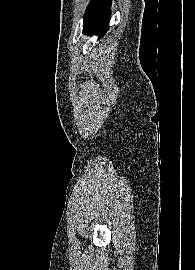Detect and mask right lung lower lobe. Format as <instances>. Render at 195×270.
<instances>
[{"label":"right lung lower lobe","mask_w":195,"mask_h":270,"mask_svg":"<svg viewBox=\"0 0 195 270\" xmlns=\"http://www.w3.org/2000/svg\"><path fill=\"white\" fill-rule=\"evenodd\" d=\"M111 0H91L83 22V32L88 35L98 33L99 38L109 29Z\"/></svg>","instance_id":"right-lung-lower-lobe-1"}]
</instances>
